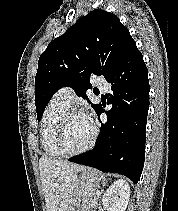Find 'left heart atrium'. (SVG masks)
<instances>
[{"instance_id":"obj_1","label":"left heart atrium","mask_w":178,"mask_h":211,"mask_svg":"<svg viewBox=\"0 0 178 211\" xmlns=\"http://www.w3.org/2000/svg\"><path fill=\"white\" fill-rule=\"evenodd\" d=\"M84 117L90 122L92 123V118L89 114H85Z\"/></svg>"}]
</instances>
